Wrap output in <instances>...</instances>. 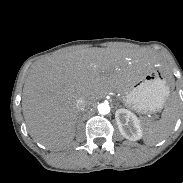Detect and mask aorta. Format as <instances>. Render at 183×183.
<instances>
[{"label": "aorta", "instance_id": "1", "mask_svg": "<svg viewBox=\"0 0 183 183\" xmlns=\"http://www.w3.org/2000/svg\"><path fill=\"white\" fill-rule=\"evenodd\" d=\"M99 114L106 115L110 113V106L107 103H101L97 107Z\"/></svg>", "mask_w": 183, "mask_h": 183}]
</instances>
